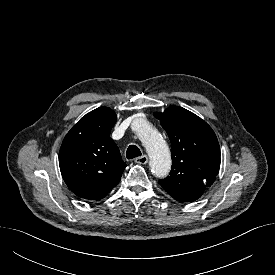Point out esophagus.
<instances>
[{"label": "esophagus", "mask_w": 275, "mask_h": 275, "mask_svg": "<svg viewBox=\"0 0 275 275\" xmlns=\"http://www.w3.org/2000/svg\"><path fill=\"white\" fill-rule=\"evenodd\" d=\"M134 161L138 164H146L148 162V157L147 155H142L140 157L135 158Z\"/></svg>", "instance_id": "34e87169"}]
</instances>
